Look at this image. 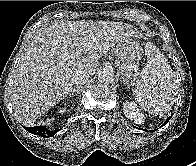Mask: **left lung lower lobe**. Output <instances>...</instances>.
Here are the masks:
<instances>
[{
	"label": "left lung lower lobe",
	"mask_w": 196,
	"mask_h": 166,
	"mask_svg": "<svg viewBox=\"0 0 196 166\" xmlns=\"http://www.w3.org/2000/svg\"><path fill=\"white\" fill-rule=\"evenodd\" d=\"M171 116L164 122L163 126L168 123V121L170 120Z\"/></svg>",
	"instance_id": "1"
}]
</instances>
